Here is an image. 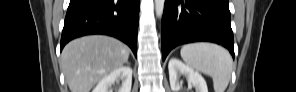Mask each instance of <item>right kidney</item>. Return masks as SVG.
<instances>
[{
  "mask_svg": "<svg viewBox=\"0 0 296 92\" xmlns=\"http://www.w3.org/2000/svg\"><path fill=\"white\" fill-rule=\"evenodd\" d=\"M122 81V85L118 92H131L132 86V69L129 66L119 67L104 78H102L92 92H113L112 84L116 81Z\"/></svg>",
  "mask_w": 296,
  "mask_h": 92,
  "instance_id": "right-kidney-1",
  "label": "right kidney"
}]
</instances>
